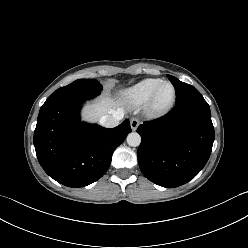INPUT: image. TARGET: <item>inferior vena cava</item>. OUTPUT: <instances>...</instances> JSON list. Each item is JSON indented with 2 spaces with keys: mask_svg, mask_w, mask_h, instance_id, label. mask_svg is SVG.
Masks as SVG:
<instances>
[{
  "mask_svg": "<svg viewBox=\"0 0 248 248\" xmlns=\"http://www.w3.org/2000/svg\"><path fill=\"white\" fill-rule=\"evenodd\" d=\"M124 117V112L115 110L112 114L104 115L100 118L99 123L106 128H113L119 125V121Z\"/></svg>",
  "mask_w": 248,
  "mask_h": 248,
  "instance_id": "602c4592",
  "label": "inferior vena cava"
}]
</instances>
